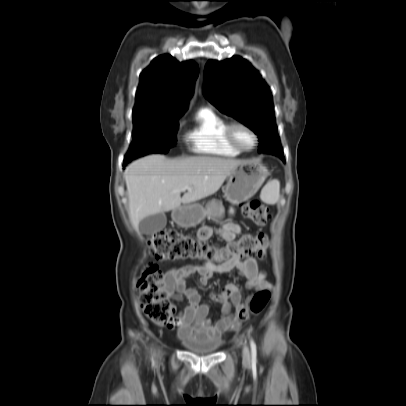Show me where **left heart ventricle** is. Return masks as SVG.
<instances>
[{
  "instance_id": "1",
  "label": "left heart ventricle",
  "mask_w": 406,
  "mask_h": 406,
  "mask_svg": "<svg viewBox=\"0 0 406 406\" xmlns=\"http://www.w3.org/2000/svg\"><path fill=\"white\" fill-rule=\"evenodd\" d=\"M234 135L240 145L247 148L253 145V137L246 129L238 127L235 129Z\"/></svg>"
}]
</instances>
